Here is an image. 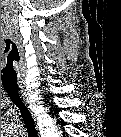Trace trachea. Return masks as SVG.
Returning <instances> with one entry per match:
<instances>
[{
	"label": "trachea",
	"mask_w": 121,
	"mask_h": 137,
	"mask_svg": "<svg viewBox=\"0 0 121 137\" xmlns=\"http://www.w3.org/2000/svg\"><path fill=\"white\" fill-rule=\"evenodd\" d=\"M8 42L9 46H11V52L3 65L2 84L11 101L19 108L26 127L31 129L34 127L33 119L18 93V72L16 70V64L20 60L19 51L17 45L13 41L8 40Z\"/></svg>",
	"instance_id": "obj_1"
}]
</instances>
